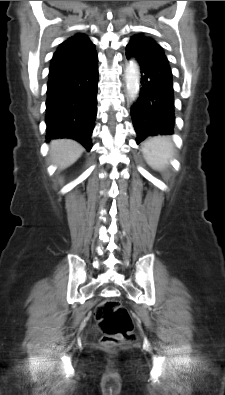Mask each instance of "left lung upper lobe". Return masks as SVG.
I'll list each match as a JSON object with an SVG mask.
<instances>
[{
  "instance_id": "1",
  "label": "left lung upper lobe",
  "mask_w": 225,
  "mask_h": 395,
  "mask_svg": "<svg viewBox=\"0 0 225 395\" xmlns=\"http://www.w3.org/2000/svg\"><path fill=\"white\" fill-rule=\"evenodd\" d=\"M126 50L140 63L158 62L169 64L162 47L155 40L143 34L134 35Z\"/></svg>"
}]
</instances>
